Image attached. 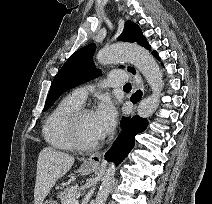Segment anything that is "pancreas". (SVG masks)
<instances>
[{
  "label": "pancreas",
  "instance_id": "obj_1",
  "mask_svg": "<svg viewBox=\"0 0 212 204\" xmlns=\"http://www.w3.org/2000/svg\"><path fill=\"white\" fill-rule=\"evenodd\" d=\"M78 189L75 186L68 187L64 191L59 192L58 199L61 200L62 204H67L68 199L77 198Z\"/></svg>",
  "mask_w": 212,
  "mask_h": 204
}]
</instances>
